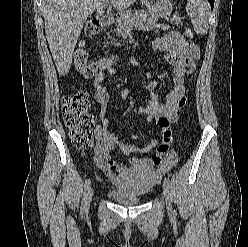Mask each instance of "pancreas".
Listing matches in <instances>:
<instances>
[{
	"instance_id": "1",
	"label": "pancreas",
	"mask_w": 248,
	"mask_h": 247,
	"mask_svg": "<svg viewBox=\"0 0 248 247\" xmlns=\"http://www.w3.org/2000/svg\"><path fill=\"white\" fill-rule=\"evenodd\" d=\"M173 23H180V21L171 20ZM158 17L150 14L144 10H129L116 19V33L125 37L133 29H145L157 27Z\"/></svg>"
}]
</instances>
